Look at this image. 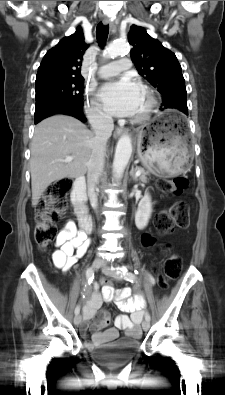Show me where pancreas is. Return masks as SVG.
Masks as SVG:
<instances>
[{
    "label": "pancreas",
    "instance_id": "cf45deb5",
    "mask_svg": "<svg viewBox=\"0 0 225 395\" xmlns=\"http://www.w3.org/2000/svg\"><path fill=\"white\" fill-rule=\"evenodd\" d=\"M136 170H140L141 174L139 176V180H141L142 182H146L147 181V175H149V172L146 171L144 168L141 167H137Z\"/></svg>",
    "mask_w": 225,
    "mask_h": 395
}]
</instances>
